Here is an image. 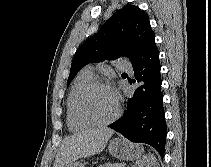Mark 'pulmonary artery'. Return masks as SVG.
Wrapping results in <instances>:
<instances>
[{
  "label": "pulmonary artery",
  "mask_w": 211,
  "mask_h": 167,
  "mask_svg": "<svg viewBox=\"0 0 211 167\" xmlns=\"http://www.w3.org/2000/svg\"><path fill=\"white\" fill-rule=\"evenodd\" d=\"M118 66H119L120 69H123V70H129L130 69V65H129L128 61H126V60H119ZM86 70H88L92 73L91 66H88Z\"/></svg>",
  "instance_id": "e3ab8cb5"
}]
</instances>
